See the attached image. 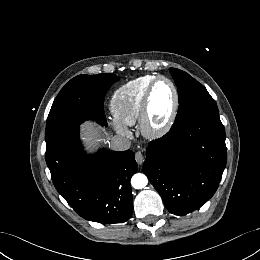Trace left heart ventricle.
<instances>
[{"label":"left heart ventricle","mask_w":260,"mask_h":260,"mask_svg":"<svg viewBox=\"0 0 260 260\" xmlns=\"http://www.w3.org/2000/svg\"><path fill=\"white\" fill-rule=\"evenodd\" d=\"M174 106V94L171 86L160 81L151 98L150 105V124L153 128L163 126L172 113Z\"/></svg>","instance_id":"b2bd125f"}]
</instances>
